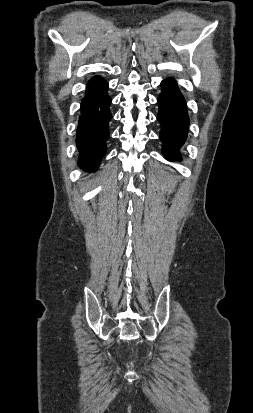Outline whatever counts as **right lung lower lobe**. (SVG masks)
<instances>
[{"mask_svg":"<svg viewBox=\"0 0 253 413\" xmlns=\"http://www.w3.org/2000/svg\"><path fill=\"white\" fill-rule=\"evenodd\" d=\"M107 88L108 83L96 76L88 82L81 101L76 146L78 165L85 171H95L106 153V140L110 134L108 123L112 118Z\"/></svg>","mask_w":253,"mask_h":413,"instance_id":"right-lung-lower-lobe-1","label":"right lung lower lobe"}]
</instances>
